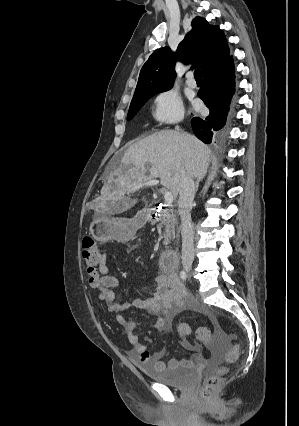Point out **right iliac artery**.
I'll return each mask as SVG.
<instances>
[{"instance_id":"right-iliac-artery-1","label":"right iliac artery","mask_w":299,"mask_h":426,"mask_svg":"<svg viewBox=\"0 0 299 426\" xmlns=\"http://www.w3.org/2000/svg\"><path fill=\"white\" fill-rule=\"evenodd\" d=\"M180 277H181V279H182L183 281H185V280L187 279V275H186V272H185L184 270H182V271L180 272Z\"/></svg>"}]
</instances>
